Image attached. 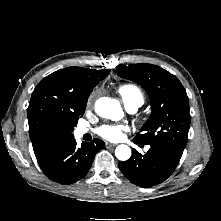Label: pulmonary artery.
<instances>
[{
    "label": "pulmonary artery",
    "instance_id": "obj_1",
    "mask_svg": "<svg viewBox=\"0 0 221 221\" xmlns=\"http://www.w3.org/2000/svg\"><path fill=\"white\" fill-rule=\"evenodd\" d=\"M126 108L129 112L133 113L135 112L137 109H138V106L137 105H126ZM88 132V129L85 128V127H78L76 130H75V134L77 136H83L84 134H86ZM148 149V148H147Z\"/></svg>",
    "mask_w": 221,
    "mask_h": 221
}]
</instances>
